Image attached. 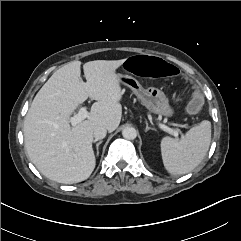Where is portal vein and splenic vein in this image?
<instances>
[{
  "instance_id": "18ae733b",
  "label": "portal vein and splenic vein",
  "mask_w": 241,
  "mask_h": 241,
  "mask_svg": "<svg viewBox=\"0 0 241 241\" xmlns=\"http://www.w3.org/2000/svg\"><path fill=\"white\" fill-rule=\"evenodd\" d=\"M89 117V113L87 111V107L86 106H83L80 108L79 112L72 116L70 119H69V122L71 123V125L74 127L76 126L77 124H79L80 122H82L84 119L88 118ZM159 127L161 129H163L164 131L172 134L173 136L175 137H178L179 133L177 130H174L172 128H169L167 127L166 125L164 124H159Z\"/></svg>"
}]
</instances>
